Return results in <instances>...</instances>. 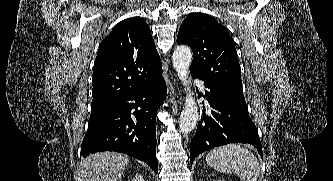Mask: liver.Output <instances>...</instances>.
<instances>
[{
    "instance_id": "6515ba94",
    "label": "liver",
    "mask_w": 333,
    "mask_h": 181,
    "mask_svg": "<svg viewBox=\"0 0 333 181\" xmlns=\"http://www.w3.org/2000/svg\"><path fill=\"white\" fill-rule=\"evenodd\" d=\"M129 156L117 152H98L80 163L82 181H121Z\"/></svg>"
}]
</instances>
